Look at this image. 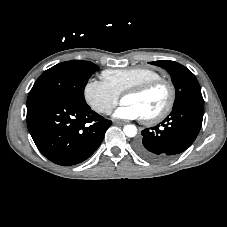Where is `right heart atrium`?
I'll return each instance as SVG.
<instances>
[{
  "label": "right heart atrium",
  "instance_id": "1",
  "mask_svg": "<svg viewBox=\"0 0 227 227\" xmlns=\"http://www.w3.org/2000/svg\"><path fill=\"white\" fill-rule=\"evenodd\" d=\"M87 104L99 114H109L117 105L119 95L104 81L90 79L84 86Z\"/></svg>",
  "mask_w": 227,
  "mask_h": 227
}]
</instances>
